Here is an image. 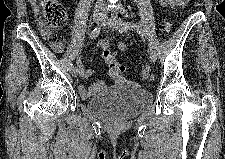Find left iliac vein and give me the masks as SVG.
I'll use <instances>...</instances> for the list:
<instances>
[{
    "label": "left iliac vein",
    "instance_id": "left-iliac-vein-1",
    "mask_svg": "<svg viewBox=\"0 0 225 159\" xmlns=\"http://www.w3.org/2000/svg\"><path fill=\"white\" fill-rule=\"evenodd\" d=\"M101 25L103 26H109L113 28H120L124 30H131V27L128 25V23L120 18L117 17H108L107 15L103 16V19L101 21ZM149 60L151 63H155L156 61V54L153 49H149Z\"/></svg>",
    "mask_w": 225,
    "mask_h": 159
}]
</instances>
